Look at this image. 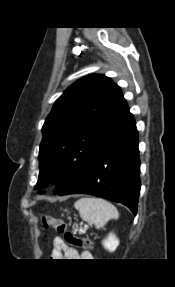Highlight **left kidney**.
<instances>
[{"label": "left kidney", "instance_id": "5707ae66", "mask_svg": "<svg viewBox=\"0 0 175 287\" xmlns=\"http://www.w3.org/2000/svg\"><path fill=\"white\" fill-rule=\"evenodd\" d=\"M102 244L105 249L109 250L110 252H113L118 247L119 240L113 233H110L109 236L103 240Z\"/></svg>", "mask_w": 175, "mask_h": 287}]
</instances>
